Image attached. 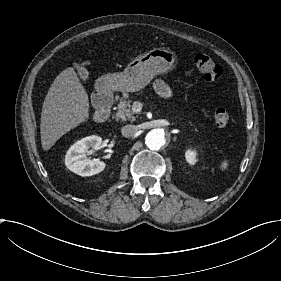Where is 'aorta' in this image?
<instances>
[{
    "mask_svg": "<svg viewBox=\"0 0 281 281\" xmlns=\"http://www.w3.org/2000/svg\"><path fill=\"white\" fill-rule=\"evenodd\" d=\"M166 143V133L164 129H152L145 137V144L151 150H159Z\"/></svg>",
    "mask_w": 281,
    "mask_h": 281,
    "instance_id": "obj_1",
    "label": "aorta"
}]
</instances>
